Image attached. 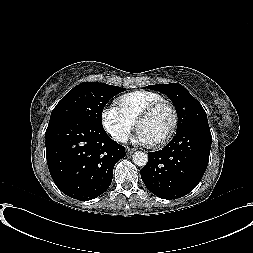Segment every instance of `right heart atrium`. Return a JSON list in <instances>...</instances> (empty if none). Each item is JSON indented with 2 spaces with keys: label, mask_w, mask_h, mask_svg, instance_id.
Here are the masks:
<instances>
[{
  "label": "right heart atrium",
  "mask_w": 253,
  "mask_h": 253,
  "mask_svg": "<svg viewBox=\"0 0 253 253\" xmlns=\"http://www.w3.org/2000/svg\"><path fill=\"white\" fill-rule=\"evenodd\" d=\"M102 124L111 137L120 143L125 142L135 126L118 105H109L102 112Z\"/></svg>",
  "instance_id": "obj_1"
}]
</instances>
